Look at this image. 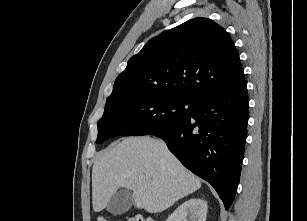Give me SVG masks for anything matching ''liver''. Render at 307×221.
Returning <instances> with one entry per match:
<instances>
[{"label":"liver","instance_id":"liver-1","mask_svg":"<svg viewBox=\"0 0 307 221\" xmlns=\"http://www.w3.org/2000/svg\"><path fill=\"white\" fill-rule=\"evenodd\" d=\"M119 188L133 191L136 208L159 213L200 189L201 182L163 141L129 137L103 152L93 165V210H103Z\"/></svg>","mask_w":307,"mask_h":221}]
</instances>
